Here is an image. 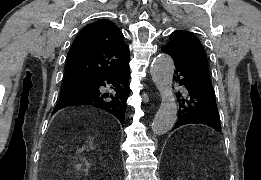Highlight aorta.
<instances>
[{"mask_svg": "<svg viewBox=\"0 0 261 180\" xmlns=\"http://www.w3.org/2000/svg\"><path fill=\"white\" fill-rule=\"evenodd\" d=\"M174 69V62L167 54L158 55L151 65V77L161 96V104L152 123V131L156 135L167 133L177 120V103L172 88Z\"/></svg>", "mask_w": 261, "mask_h": 180, "instance_id": "aorta-1", "label": "aorta"}]
</instances>
